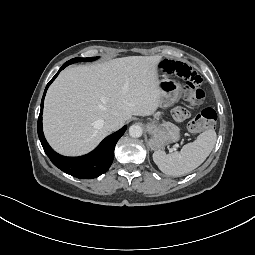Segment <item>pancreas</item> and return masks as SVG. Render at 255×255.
I'll return each mask as SVG.
<instances>
[{"label": "pancreas", "instance_id": "cf45deb5", "mask_svg": "<svg viewBox=\"0 0 255 255\" xmlns=\"http://www.w3.org/2000/svg\"><path fill=\"white\" fill-rule=\"evenodd\" d=\"M167 125H170L171 127H173L174 129H179L177 126H175L174 124H172V123H166Z\"/></svg>", "mask_w": 255, "mask_h": 255}]
</instances>
